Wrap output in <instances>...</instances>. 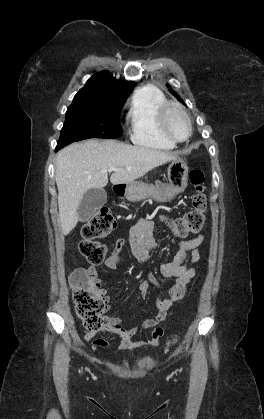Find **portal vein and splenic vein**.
<instances>
[{
  "label": "portal vein and splenic vein",
  "mask_w": 264,
  "mask_h": 419,
  "mask_svg": "<svg viewBox=\"0 0 264 419\" xmlns=\"http://www.w3.org/2000/svg\"><path fill=\"white\" fill-rule=\"evenodd\" d=\"M117 170H119V169H117V168H115V167H110L107 171L108 172H112V171H117Z\"/></svg>",
  "instance_id": "portal-vein-and-splenic-vein-1"
}]
</instances>
